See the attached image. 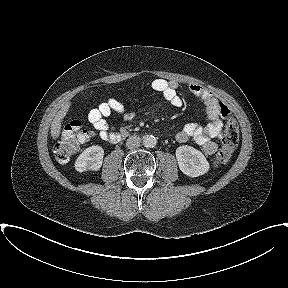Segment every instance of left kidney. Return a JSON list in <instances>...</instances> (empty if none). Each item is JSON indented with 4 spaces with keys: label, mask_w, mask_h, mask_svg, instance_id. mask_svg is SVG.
Wrapping results in <instances>:
<instances>
[{
    "label": "left kidney",
    "mask_w": 288,
    "mask_h": 288,
    "mask_svg": "<svg viewBox=\"0 0 288 288\" xmlns=\"http://www.w3.org/2000/svg\"><path fill=\"white\" fill-rule=\"evenodd\" d=\"M176 158L180 170L189 177L204 175L210 168L205 156L188 145H182L176 149Z\"/></svg>",
    "instance_id": "1"
}]
</instances>
